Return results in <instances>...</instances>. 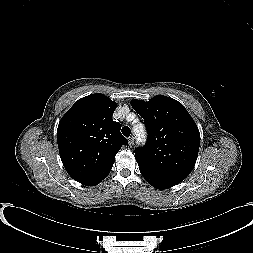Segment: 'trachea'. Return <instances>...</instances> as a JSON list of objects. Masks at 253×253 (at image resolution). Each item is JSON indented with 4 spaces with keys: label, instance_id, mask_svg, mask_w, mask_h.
<instances>
[{
    "label": "trachea",
    "instance_id": "trachea-1",
    "mask_svg": "<svg viewBox=\"0 0 253 253\" xmlns=\"http://www.w3.org/2000/svg\"><path fill=\"white\" fill-rule=\"evenodd\" d=\"M121 131H122V133H123L124 136H126V137L130 136L131 130H130L129 127L124 126Z\"/></svg>",
    "mask_w": 253,
    "mask_h": 253
}]
</instances>
